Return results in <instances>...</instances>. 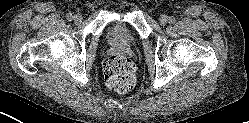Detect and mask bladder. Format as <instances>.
Wrapping results in <instances>:
<instances>
[{
  "label": "bladder",
  "instance_id": "31cf9c89",
  "mask_svg": "<svg viewBox=\"0 0 249 123\" xmlns=\"http://www.w3.org/2000/svg\"><path fill=\"white\" fill-rule=\"evenodd\" d=\"M105 41L111 45L134 46L138 42L136 32L125 22L116 21L105 33Z\"/></svg>",
  "mask_w": 249,
  "mask_h": 123
}]
</instances>
